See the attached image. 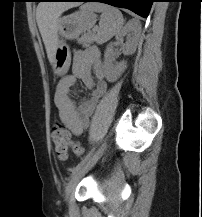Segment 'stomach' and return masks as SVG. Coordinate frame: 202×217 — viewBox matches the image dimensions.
Returning a JSON list of instances; mask_svg holds the SVG:
<instances>
[{"label": "stomach", "instance_id": "obj_1", "mask_svg": "<svg viewBox=\"0 0 202 217\" xmlns=\"http://www.w3.org/2000/svg\"><path fill=\"white\" fill-rule=\"evenodd\" d=\"M96 23V15L93 11L81 8L79 11L61 17L57 25V35L59 37L55 50V61L53 69L55 74L63 76L67 73L71 53L64 39H76L83 32L91 29Z\"/></svg>", "mask_w": 202, "mask_h": 217}]
</instances>
